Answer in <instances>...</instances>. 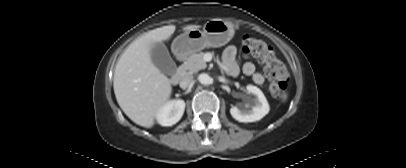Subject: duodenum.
Segmentation results:
<instances>
[{"mask_svg": "<svg viewBox=\"0 0 406 168\" xmlns=\"http://www.w3.org/2000/svg\"><path fill=\"white\" fill-rule=\"evenodd\" d=\"M182 72L180 70H175L170 74V80L172 83L176 84L181 78Z\"/></svg>", "mask_w": 406, "mask_h": 168, "instance_id": "obj_1", "label": "duodenum"}]
</instances>
